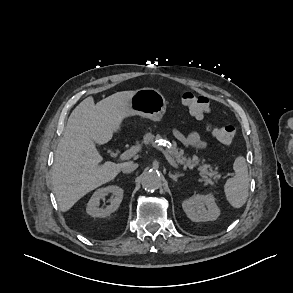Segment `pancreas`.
I'll return each mask as SVG.
<instances>
[{"label": "pancreas", "mask_w": 293, "mask_h": 293, "mask_svg": "<svg viewBox=\"0 0 293 293\" xmlns=\"http://www.w3.org/2000/svg\"><path fill=\"white\" fill-rule=\"evenodd\" d=\"M161 138L162 137L159 134L154 136L152 133H147L144 135V138L141 144L137 142V146L140 147L142 146V144L154 145L155 140L161 139ZM167 153L173 158V160L177 164L182 165L184 169H187V168L193 169L194 167H197L202 177L201 180L204 182L205 186H214L215 182H217L218 179L220 178V175L216 171L217 169L216 166H215V170H213L214 168L211 165L204 163L205 162L204 159L201 160L197 156L188 157L187 155H185L183 149L177 148L176 142H173L171 146L167 148Z\"/></svg>", "instance_id": "1"}]
</instances>
